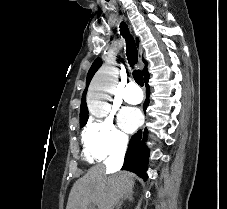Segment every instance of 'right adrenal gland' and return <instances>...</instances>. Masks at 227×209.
I'll list each match as a JSON object with an SVG mask.
<instances>
[{"mask_svg": "<svg viewBox=\"0 0 227 209\" xmlns=\"http://www.w3.org/2000/svg\"><path fill=\"white\" fill-rule=\"evenodd\" d=\"M123 201H133V197L130 193V195H124V197H121L120 201H118L116 205V209H121V205H123Z\"/></svg>", "mask_w": 227, "mask_h": 209, "instance_id": "obj_1", "label": "right adrenal gland"}]
</instances>
